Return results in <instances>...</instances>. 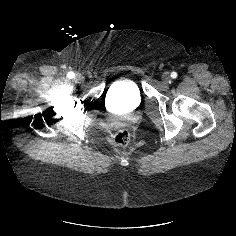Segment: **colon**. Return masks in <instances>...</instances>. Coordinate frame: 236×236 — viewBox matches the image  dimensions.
I'll list each match as a JSON object with an SVG mask.
<instances>
[{
	"mask_svg": "<svg viewBox=\"0 0 236 236\" xmlns=\"http://www.w3.org/2000/svg\"><path fill=\"white\" fill-rule=\"evenodd\" d=\"M111 141L117 146H126L130 141V133L126 128H123L112 136Z\"/></svg>",
	"mask_w": 236,
	"mask_h": 236,
	"instance_id": "obj_1",
	"label": "colon"
}]
</instances>
